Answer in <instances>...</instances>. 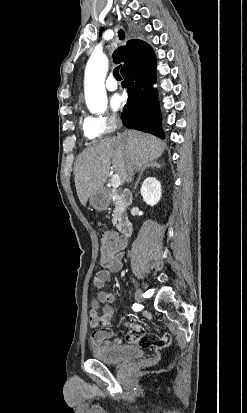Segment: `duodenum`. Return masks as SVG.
Returning <instances> with one entry per match:
<instances>
[{
  "mask_svg": "<svg viewBox=\"0 0 247 413\" xmlns=\"http://www.w3.org/2000/svg\"><path fill=\"white\" fill-rule=\"evenodd\" d=\"M119 197L122 207H127L132 203V194L127 189L120 190ZM118 229L124 237H130L133 233L132 223L128 219L120 220L118 223Z\"/></svg>",
  "mask_w": 247,
  "mask_h": 413,
  "instance_id": "obj_1",
  "label": "duodenum"
}]
</instances>
